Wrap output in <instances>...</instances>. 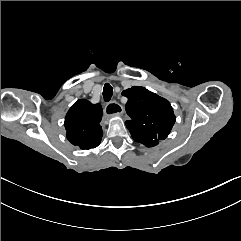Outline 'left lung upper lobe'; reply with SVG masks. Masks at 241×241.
<instances>
[{
  "mask_svg": "<svg viewBox=\"0 0 241 241\" xmlns=\"http://www.w3.org/2000/svg\"><path fill=\"white\" fill-rule=\"evenodd\" d=\"M128 98L125 124L136 142L146 147L158 145L170 133L175 115L171 104L144 87L134 86L122 92Z\"/></svg>",
  "mask_w": 241,
  "mask_h": 241,
  "instance_id": "obj_1",
  "label": "left lung upper lobe"
}]
</instances>
